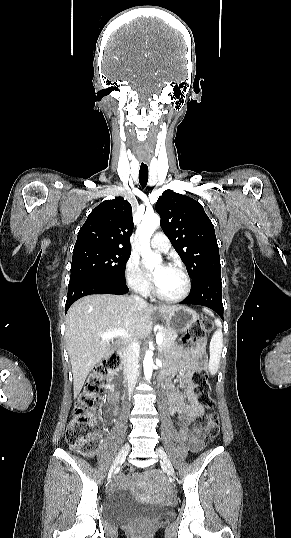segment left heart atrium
Segmentation results:
<instances>
[{"label":"left heart atrium","mask_w":291,"mask_h":538,"mask_svg":"<svg viewBox=\"0 0 291 538\" xmlns=\"http://www.w3.org/2000/svg\"><path fill=\"white\" fill-rule=\"evenodd\" d=\"M153 279H154V281L156 280V275L155 274H153Z\"/></svg>","instance_id":"left-heart-atrium-1"}]
</instances>
